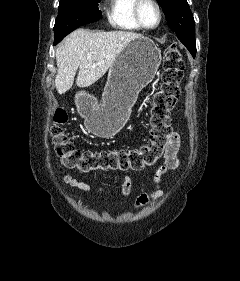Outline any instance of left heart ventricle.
<instances>
[{"label": "left heart ventricle", "instance_id": "obj_1", "mask_svg": "<svg viewBox=\"0 0 240 281\" xmlns=\"http://www.w3.org/2000/svg\"><path fill=\"white\" fill-rule=\"evenodd\" d=\"M141 17L143 22L148 26H153L157 23L158 14L155 6L150 2H145L141 6Z\"/></svg>", "mask_w": 240, "mask_h": 281}]
</instances>
